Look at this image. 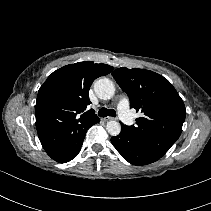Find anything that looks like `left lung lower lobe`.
Segmentation results:
<instances>
[{
	"label": "left lung lower lobe",
	"mask_w": 211,
	"mask_h": 211,
	"mask_svg": "<svg viewBox=\"0 0 211 211\" xmlns=\"http://www.w3.org/2000/svg\"><path fill=\"white\" fill-rule=\"evenodd\" d=\"M111 142L123 158L133 165H147L161 158L137 138L128 129V126L122 123L120 134L112 137Z\"/></svg>",
	"instance_id": "1"
}]
</instances>
